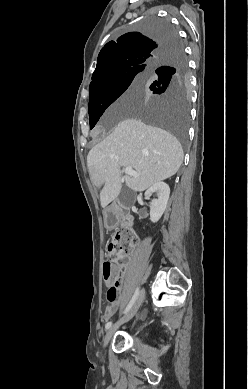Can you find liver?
<instances>
[{"mask_svg":"<svg viewBox=\"0 0 248 389\" xmlns=\"http://www.w3.org/2000/svg\"><path fill=\"white\" fill-rule=\"evenodd\" d=\"M135 91L132 85L119 104L134 101ZM183 157L181 144L169 132L127 118L89 151L87 167L93 184L103 186L100 202L105 208L120 194L122 179L133 191L142 192L175 175ZM122 166L132 167L139 176L126 174L122 178Z\"/></svg>","mask_w":248,"mask_h":389,"instance_id":"1","label":"liver"}]
</instances>
